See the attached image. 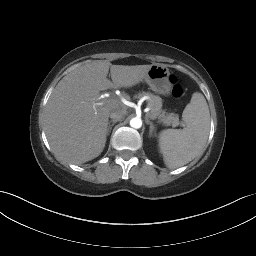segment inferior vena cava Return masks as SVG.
I'll return each mask as SVG.
<instances>
[{"label":"inferior vena cava","mask_w":256,"mask_h":256,"mask_svg":"<svg viewBox=\"0 0 256 256\" xmlns=\"http://www.w3.org/2000/svg\"><path fill=\"white\" fill-rule=\"evenodd\" d=\"M110 118L112 120L121 121L124 118V115L121 111L115 110L110 113Z\"/></svg>","instance_id":"obj_1"}]
</instances>
